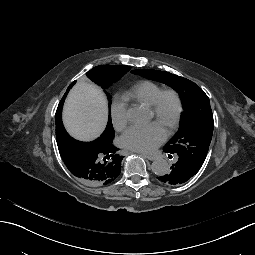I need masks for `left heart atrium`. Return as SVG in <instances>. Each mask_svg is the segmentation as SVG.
I'll list each match as a JSON object with an SVG mask.
<instances>
[{"label": "left heart atrium", "mask_w": 255, "mask_h": 255, "mask_svg": "<svg viewBox=\"0 0 255 255\" xmlns=\"http://www.w3.org/2000/svg\"><path fill=\"white\" fill-rule=\"evenodd\" d=\"M165 139L166 134L154 124L134 125L121 136L124 147L141 153L155 151Z\"/></svg>", "instance_id": "left-heart-atrium-1"}]
</instances>
